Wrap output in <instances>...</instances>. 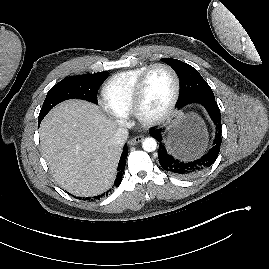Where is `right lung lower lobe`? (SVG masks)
Listing matches in <instances>:
<instances>
[{"label": "right lung lower lobe", "mask_w": 269, "mask_h": 269, "mask_svg": "<svg viewBox=\"0 0 269 269\" xmlns=\"http://www.w3.org/2000/svg\"><path fill=\"white\" fill-rule=\"evenodd\" d=\"M127 155H128L127 145H125L124 148H123L121 158L119 160V164H118V168H117L118 172H117L116 179H115V182H114V187H118L121 184L122 177H123V174H124V168H125V165H126L125 160L127 158ZM109 191H106L102 195L95 196L94 199H100V197L105 196V195L107 196ZM77 198L81 199V197H77ZM90 199L91 198H86V200H90Z\"/></svg>", "instance_id": "right-lung-lower-lobe-1"}]
</instances>
